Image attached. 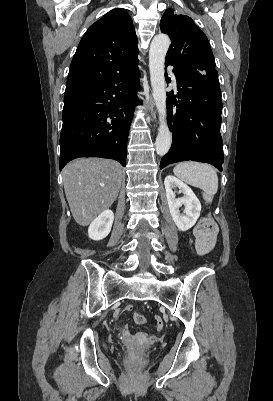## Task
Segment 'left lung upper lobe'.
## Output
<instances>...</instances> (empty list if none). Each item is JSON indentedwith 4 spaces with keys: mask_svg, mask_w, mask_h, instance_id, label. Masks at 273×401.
Instances as JSON below:
<instances>
[{
    "mask_svg": "<svg viewBox=\"0 0 273 401\" xmlns=\"http://www.w3.org/2000/svg\"><path fill=\"white\" fill-rule=\"evenodd\" d=\"M160 29L171 39L166 58L178 62L191 71L208 72L215 70V60L206 35L186 15L165 11Z\"/></svg>",
    "mask_w": 273,
    "mask_h": 401,
    "instance_id": "5c2ea615",
    "label": "left lung upper lobe"
}]
</instances>
